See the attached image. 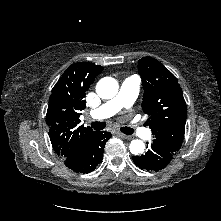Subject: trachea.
I'll list each match as a JSON object with an SVG mask.
<instances>
[{
  "label": "trachea",
  "mask_w": 221,
  "mask_h": 221,
  "mask_svg": "<svg viewBox=\"0 0 221 221\" xmlns=\"http://www.w3.org/2000/svg\"><path fill=\"white\" fill-rule=\"evenodd\" d=\"M91 126L95 129V130H102L106 127V123L105 122H93L91 123ZM120 130L127 135L133 134V129L129 128V127H121Z\"/></svg>",
  "instance_id": "trachea-1"
}]
</instances>
